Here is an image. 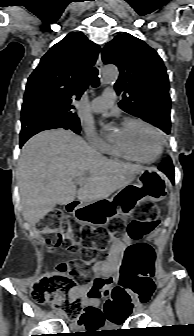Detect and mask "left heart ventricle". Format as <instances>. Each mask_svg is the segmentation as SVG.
<instances>
[{
    "mask_svg": "<svg viewBox=\"0 0 194 336\" xmlns=\"http://www.w3.org/2000/svg\"><path fill=\"white\" fill-rule=\"evenodd\" d=\"M113 140L145 159L154 157L157 151V139L154 133L141 124L135 123L119 128Z\"/></svg>",
    "mask_w": 194,
    "mask_h": 336,
    "instance_id": "1",
    "label": "left heart ventricle"
}]
</instances>
